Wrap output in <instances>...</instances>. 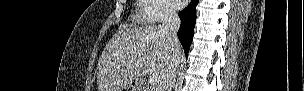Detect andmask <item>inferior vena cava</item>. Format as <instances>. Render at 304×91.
Masks as SVG:
<instances>
[{"instance_id": "602c4592", "label": "inferior vena cava", "mask_w": 304, "mask_h": 91, "mask_svg": "<svg viewBox=\"0 0 304 91\" xmlns=\"http://www.w3.org/2000/svg\"><path fill=\"white\" fill-rule=\"evenodd\" d=\"M180 27V18L173 6H166L162 20V31L168 41L170 60L162 71L157 82L156 91H171L173 83L178 73L181 61V48L177 37Z\"/></svg>"}]
</instances>
